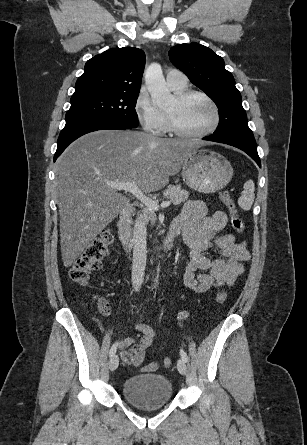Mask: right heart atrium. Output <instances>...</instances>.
Segmentation results:
<instances>
[{"label": "right heart atrium", "mask_w": 307, "mask_h": 445, "mask_svg": "<svg viewBox=\"0 0 307 445\" xmlns=\"http://www.w3.org/2000/svg\"><path fill=\"white\" fill-rule=\"evenodd\" d=\"M134 114L147 133L158 135L164 126V116L162 111L155 105L145 90H141L133 106Z\"/></svg>", "instance_id": "obj_1"}]
</instances>
